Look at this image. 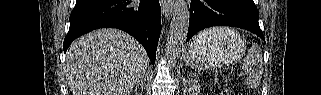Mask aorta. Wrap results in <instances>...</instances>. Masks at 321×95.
Instances as JSON below:
<instances>
[{"label":"aorta","instance_id":"obj_1","mask_svg":"<svg viewBox=\"0 0 321 95\" xmlns=\"http://www.w3.org/2000/svg\"><path fill=\"white\" fill-rule=\"evenodd\" d=\"M190 10L185 0H178L174 6L173 18L167 37V58L176 62L187 38Z\"/></svg>","mask_w":321,"mask_h":95}]
</instances>
